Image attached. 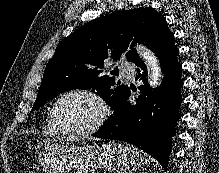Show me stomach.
<instances>
[{"mask_svg":"<svg viewBox=\"0 0 219 173\" xmlns=\"http://www.w3.org/2000/svg\"><path fill=\"white\" fill-rule=\"evenodd\" d=\"M38 160L46 173H88L98 168L113 173H132L140 166L139 154L122 143L90 145L56 142L47 145Z\"/></svg>","mask_w":219,"mask_h":173,"instance_id":"1","label":"stomach"}]
</instances>
